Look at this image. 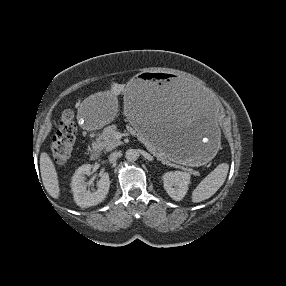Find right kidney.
I'll list each match as a JSON object with an SVG mask.
<instances>
[{
  "mask_svg": "<svg viewBox=\"0 0 286 286\" xmlns=\"http://www.w3.org/2000/svg\"><path fill=\"white\" fill-rule=\"evenodd\" d=\"M91 169V164H84L75 171L72 177L71 188L74 201L78 206L83 208L101 203L106 198L110 187L109 174L104 173L97 183V190L93 192L87 190L85 176L91 174Z\"/></svg>",
  "mask_w": 286,
  "mask_h": 286,
  "instance_id": "obj_1",
  "label": "right kidney"
}]
</instances>
